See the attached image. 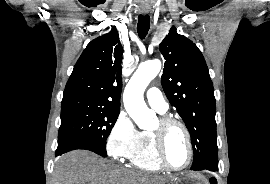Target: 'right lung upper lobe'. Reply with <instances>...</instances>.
Segmentation results:
<instances>
[{"instance_id":"1","label":"right lung upper lobe","mask_w":270,"mask_h":184,"mask_svg":"<svg viewBox=\"0 0 270 184\" xmlns=\"http://www.w3.org/2000/svg\"><path fill=\"white\" fill-rule=\"evenodd\" d=\"M123 47L115 27L91 41L66 84L63 100L83 99L120 109Z\"/></svg>"}]
</instances>
